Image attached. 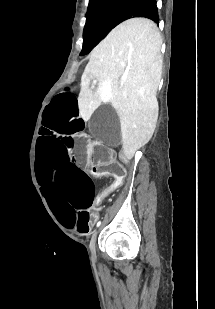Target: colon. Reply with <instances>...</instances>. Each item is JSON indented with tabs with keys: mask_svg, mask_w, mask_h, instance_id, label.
I'll use <instances>...</instances> for the list:
<instances>
[{
	"mask_svg": "<svg viewBox=\"0 0 215 309\" xmlns=\"http://www.w3.org/2000/svg\"><path fill=\"white\" fill-rule=\"evenodd\" d=\"M91 161L94 165H96V170L98 172L105 173L113 177L112 182L98 195L99 199L108 196L111 192L122 186L126 176V171L121 164L111 161L108 158L101 160L99 156L95 155L91 157Z\"/></svg>",
	"mask_w": 215,
	"mask_h": 309,
	"instance_id": "1",
	"label": "colon"
}]
</instances>
